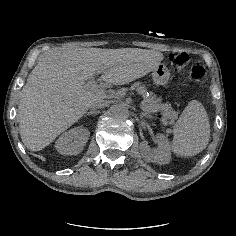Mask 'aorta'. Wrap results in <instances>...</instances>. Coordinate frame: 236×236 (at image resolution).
<instances>
[{"label": "aorta", "instance_id": "1", "mask_svg": "<svg viewBox=\"0 0 236 236\" xmlns=\"http://www.w3.org/2000/svg\"><path fill=\"white\" fill-rule=\"evenodd\" d=\"M112 115L118 119H125L128 117L129 111L124 104H116L112 107Z\"/></svg>", "mask_w": 236, "mask_h": 236}]
</instances>
